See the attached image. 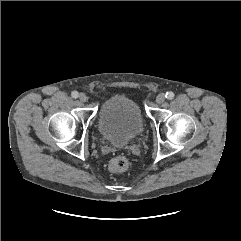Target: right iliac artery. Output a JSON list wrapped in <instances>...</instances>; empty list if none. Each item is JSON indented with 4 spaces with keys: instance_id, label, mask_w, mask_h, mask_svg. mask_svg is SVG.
Wrapping results in <instances>:
<instances>
[{
    "instance_id": "right-iliac-artery-1",
    "label": "right iliac artery",
    "mask_w": 241,
    "mask_h": 241,
    "mask_svg": "<svg viewBox=\"0 0 241 241\" xmlns=\"http://www.w3.org/2000/svg\"><path fill=\"white\" fill-rule=\"evenodd\" d=\"M78 95H79V94H78L77 91H73L72 94H71V96H72L73 98H75V99L78 97Z\"/></svg>"
}]
</instances>
